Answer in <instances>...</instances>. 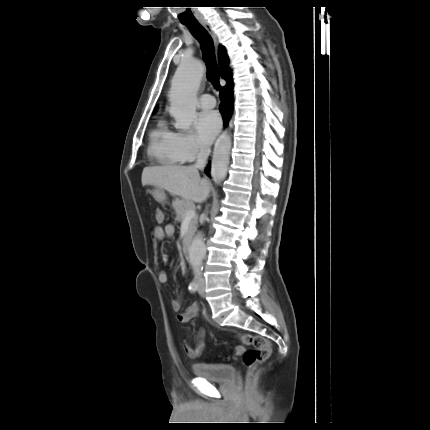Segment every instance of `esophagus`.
<instances>
[{
	"label": "esophagus",
	"mask_w": 430,
	"mask_h": 430,
	"mask_svg": "<svg viewBox=\"0 0 430 430\" xmlns=\"http://www.w3.org/2000/svg\"><path fill=\"white\" fill-rule=\"evenodd\" d=\"M202 26L208 31V33L211 35L214 44L216 47H218V39L217 36L215 34V32L213 31L212 27L210 26V24L206 21L201 22Z\"/></svg>",
	"instance_id": "34e87169"
}]
</instances>
